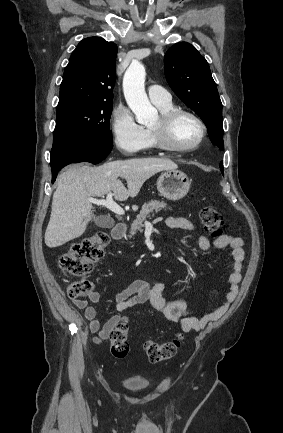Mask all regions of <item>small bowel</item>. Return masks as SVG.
<instances>
[{"mask_svg":"<svg viewBox=\"0 0 283 433\" xmlns=\"http://www.w3.org/2000/svg\"><path fill=\"white\" fill-rule=\"evenodd\" d=\"M166 224L171 229H179L186 232H194L193 223L183 217L170 216L166 219ZM198 247L201 250H209L213 245L217 249L230 248L232 250L233 265L229 276V290L224 302L213 312L199 317L195 311L188 307L183 299L167 300L164 297L166 285L163 282L149 284L144 280H134L126 288L115 295L116 313L101 327L96 318L95 308L90 303H98L100 292L94 290L89 293L88 300L73 299L74 305L84 311L89 330L95 334L93 340L99 344L110 337L111 332L118 325L122 314L127 309L149 303L155 310L160 312L167 320L178 323L183 332L200 331L205 326L220 319L235 301L239 291V284L242 279V266L245 259L244 241L242 238L224 235L213 242L204 235L197 237ZM71 320L83 325L84 322L74 311L68 313Z\"/></svg>","mask_w":283,"mask_h":433,"instance_id":"1","label":"small bowel"}]
</instances>
